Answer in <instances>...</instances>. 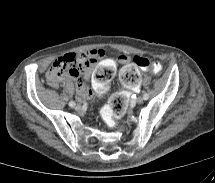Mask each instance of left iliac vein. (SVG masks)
Returning a JSON list of instances; mask_svg holds the SVG:
<instances>
[{"label":"left iliac vein","mask_w":215,"mask_h":183,"mask_svg":"<svg viewBox=\"0 0 215 183\" xmlns=\"http://www.w3.org/2000/svg\"><path fill=\"white\" fill-rule=\"evenodd\" d=\"M143 101H144V98H143V97H138V98L136 99V102H137L138 104H142Z\"/></svg>","instance_id":"1"}]
</instances>
